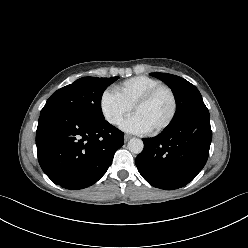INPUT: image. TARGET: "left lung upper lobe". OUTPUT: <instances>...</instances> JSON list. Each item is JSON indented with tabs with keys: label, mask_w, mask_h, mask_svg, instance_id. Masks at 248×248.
<instances>
[{
	"label": "left lung upper lobe",
	"mask_w": 248,
	"mask_h": 248,
	"mask_svg": "<svg viewBox=\"0 0 248 248\" xmlns=\"http://www.w3.org/2000/svg\"><path fill=\"white\" fill-rule=\"evenodd\" d=\"M150 75L162 80L173 91L176 112L169 125L178 123L197 112L208 110L198 89L187 80L168 73H150Z\"/></svg>",
	"instance_id": "obj_1"
}]
</instances>
